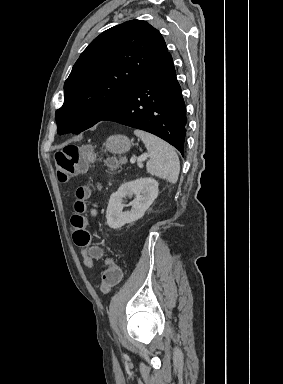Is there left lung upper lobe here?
Returning a JSON list of instances; mask_svg holds the SVG:
<instances>
[{"label": "left lung upper lobe", "mask_w": 283, "mask_h": 384, "mask_svg": "<svg viewBox=\"0 0 283 384\" xmlns=\"http://www.w3.org/2000/svg\"><path fill=\"white\" fill-rule=\"evenodd\" d=\"M160 32L130 20L96 37L64 83L65 100L55 113L58 133H79L120 106L167 53Z\"/></svg>", "instance_id": "left-lung-upper-lobe-1"}]
</instances>
